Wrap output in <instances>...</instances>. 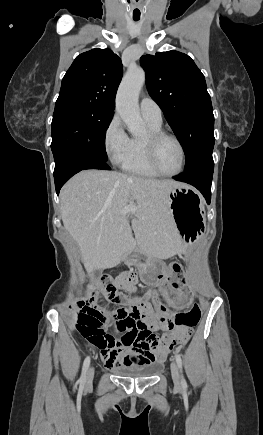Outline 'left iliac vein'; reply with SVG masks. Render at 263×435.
<instances>
[{"label": "left iliac vein", "mask_w": 263, "mask_h": 435, "mask_svg": "<svg viewBox=\"0 0 263 435\" xmlns=\"http://www.w3.org/2000/svg\"><path fill=\"white\" fill-rule=\"evenodd\" d=\"M171 375L175 386L179 387L181 385L180 375L175 362L171 363Z\"/></svg>", "instance_id": "4c4485c4"}]
</instances>
